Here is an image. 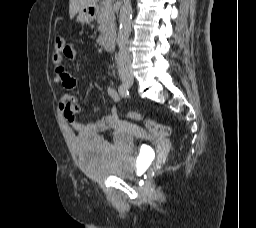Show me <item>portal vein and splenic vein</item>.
I'll return each mask as SVG.
<instances>
[{
    "label": "portal vein and splenic vein",
    "mask_w": 256,
    "mask_h": 228,
    "mask_svg": "<svg viewBox=\"0 0 256 228\" xmlns=\"http://www.w3.org/2000/svg\"><path fill=\"white\" fill-rule=\"evenodd\" d=\"M106 1V3H108V2H110L111 0H105Z\"/></svg>",
    "instance_id": "1"
}]
</instances>
